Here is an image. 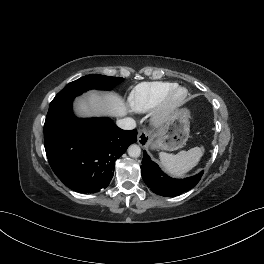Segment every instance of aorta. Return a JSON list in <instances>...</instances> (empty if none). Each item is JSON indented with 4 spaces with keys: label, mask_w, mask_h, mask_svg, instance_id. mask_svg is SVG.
<instances>
[{
    "label": "aorta",
    "mask_w": 264,
    "mask_h": 264,
    "mask_svg": "<svg viewBox=\"0 0 264 264\" xmlns=\"http://www.w3.org/2000/svg\"><path fill=\"white\" fill-rule=\"evenodd\" d=\"M128 155L132 158H137L141 155V148L136 145L133 144L128 148Z\"/></svg>",
    "instance_id": "aorta-1"
}]
</instances>
